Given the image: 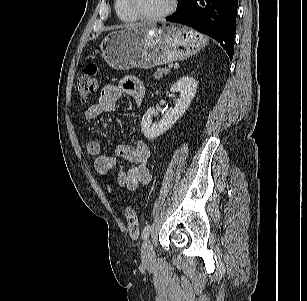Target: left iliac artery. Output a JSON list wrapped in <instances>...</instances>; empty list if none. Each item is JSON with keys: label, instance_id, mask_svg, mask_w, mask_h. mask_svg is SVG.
Listing matches in <instances>:
<instances>
[{"label": "left iliac artery", "instance_id": "left-iliac-artery-1", "mask_svg": "<svg viewBox=\"0 0 307 301\" xmlns=\"http://www.w3.org/2000/svg\"><path fill=\"white\" fill-rule=\"evenodd\" d=\"M150 230H151V226H150V224H147V225L144 227L143 231H142V238H143V239H146V238L148 237V235H149V233H150Z\"/></svg>", "mask_w": 307, "mask_h": 301}]
</instances>
